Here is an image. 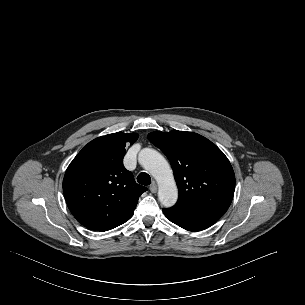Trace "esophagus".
I'll use <instances>...</instances> for the list:
<instances>
[{"instance_id":"1","label":"esophagus","mask_w":305,"mask_h":305,"mask_svg":"<svg viewBox=\"0 0 305 305\" xmlns=\"http://www.w3.org/2000/svg\"><path fill=\"white\" fill-rule=\"evenodd\" d=\"M150 191L152 193H156L157 192V185L155 182H153L151 185H150Z\"/></svg>"}]
</instances>
